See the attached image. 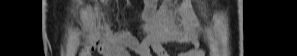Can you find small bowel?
<instances>
[{
  "mask_svg": "<svg viewBox=\"0 0 297 56\" xmlns=\"http://www.w3.org/2000/svg\"><path fill=\"white\" fill-rule=\"evenodd\" d=\"M173 6V2L169 1L166 4V9ZM183 38H189L188 35L184 36ZM193 43L195 44V48L182 54V56H201L203 52L198 48V39L193 38ZM128 47L134 52L137 53L139 56H150L149 47L153 49L156 53L161 56H165V51L158 40L153 39L151 36L147 35L142 40L138 41L132 36H127L125 42L117 43V44H108L105 45L101 49L102 55H113L115 52L119 51L121 48ZM122 55H126L123 52Z\"/></svg>",
  "mask_w": 297,
  "mask_h": 56,
  "instance_id": "1",
  "label": "small bowel"
}]
</instances>
